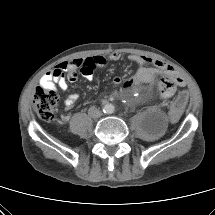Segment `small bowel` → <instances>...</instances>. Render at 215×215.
<instances>
[{"label": "small bowel", "instance_id": "small-bowel-1", "mask_svg": "<svg viewBox=\"0 0 215 215\" xmlns=\"http://www.w3.org/2000/svg\"><path fill=\"white\" fill-rule=\"evenodd\" d=\"M120 58V53H112L107 58L104 56H93L85 59L77 58L65 61L56 66L53 70L44 74L40 80V84L42 87L48 89L56 90L57 85L62 90H68V82L76 81L78 69L87 80L91 81L93 79V72L96 68L105 66L108 61H118ZM129 60L133 63H136L140 67L131 81L124 84L125 88L131 86L138 87L142 84L153 83L157 76H162L163 80L175 78L176 84L171 93L159 92L160 98L167 99L172 96L176 86L184 85V81L175 75L174 70L168 64L160 60H155L150 57L139 55H130ZM146 64H154L156 69L147 68L145 67ZM114 83L119 84L120 80L115 78ZM161 86L162 82L159 84V87ZM77 98V94H70L65 100V107L67 109H71Z\"/></svg>", "mask_w": 215, "mask_h": 215}]
</instances>
